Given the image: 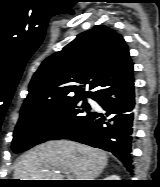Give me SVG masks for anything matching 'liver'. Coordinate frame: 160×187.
<instances>
[{"instance_id":"6515ba94","label":"liver","mask_w":160,"mask_h":187,"mask_svg":"<svg viewBox=\"0 0 160 187\" xmlns=\"http://www.w3.org/2000/svg\"><path fill=\"white\" fill-rule=\"evenodd\" d=\"M104 151L72 141H49L23 155L14 177L20 180H62L68 172L74 180H95L107 165Z\"/></svg>"}]
</instances>
